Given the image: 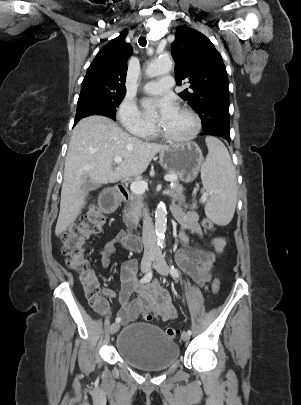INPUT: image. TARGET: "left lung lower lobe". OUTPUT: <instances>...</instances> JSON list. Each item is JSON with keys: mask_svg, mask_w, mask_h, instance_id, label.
<instances>
[{"mask_svg": "<svg viewBox=\"0 0 301 405\" xmlns=\"http://www.w3.org/2000/svg\"><path fill=\"white\" fill-rule=\"evenodd\" d=\"M206 135H212V136H219L224 139H226L228 142H230V132H224V131H212L209 133H204Z\"/></svg>", "mask_w": 301, "mask_h": 405, "instance_id": "1", "label": "left lung lower lobe"}]
</instances>
